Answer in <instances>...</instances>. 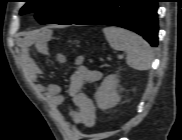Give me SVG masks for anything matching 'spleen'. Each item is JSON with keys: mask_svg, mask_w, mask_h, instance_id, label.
I'll use <instances>...</instances> for the list:
<instances>
[{"mask_svg": "<svg viewBox=\"0 0 182 140\" xmlns=\"http://www.w3.org/2000/svg\"><path fill=\"white\" fill-rule=\"evenodd\" d=\"M103 33L113 49L127 53V64L131 68L140 71L151 68L154 53L141 36L119 27H106Z\"/></svg>", "mask_w": 182, "mask_h": 140, "instance_id": "3e777b00", "label": "spleen"}]
</instances>
